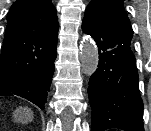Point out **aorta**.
<instances>
[{
	"mask_svg": "<svg viewBox=\"0 0 151 131\" xmlns=\"http://www.w3.org/2000/svg\"><path fill=\"white\" fill-rule=\"evenodd\" d=\"M80 61L82 71L85 75L91 76L98 68L99 54L96 45L88 38L81 43Z\"/></svg>",
	"mask_w": 151,
	"mask_h": 131,
	"instance_id": "obj_1",
	"label": "aorta"
}]
</instances>
